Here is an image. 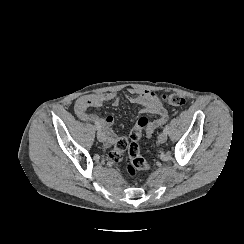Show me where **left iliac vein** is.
<instances>
[{
  "mask_svg": "<svg viewBox=\"0 0 244 244\" xmlns=\"http://www.w3.org/2000/svg\"><path fill=\"white\" fill-rule=\"evenodd\" d=\"M166 140H167V134L164 132L160 133L158 136V142L159 143H165Z\"/></svg>",
  "mask_w": 244,
  "mask_h": 244,
  "instance_id": "4c4485c4",
  "label": "left iliac vein"
}]
</instances>
